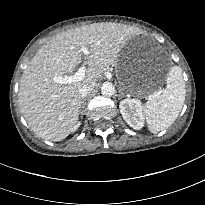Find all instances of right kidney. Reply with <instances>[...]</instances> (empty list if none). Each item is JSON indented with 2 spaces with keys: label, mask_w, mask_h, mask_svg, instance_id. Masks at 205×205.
<instances>
[{
  "label": "right kidney",
  "mask_w": 205,
  "mask_h": 205,
  "mask_svg": "<svg viewBox=\"0 0 205 205\" xmlns=\"http://www.w3.org/2000/svg\"><path fill=\"white\" fill-rule=\"evenodd\" d=\"M80 125V122H77L72 128H71V132L75 131Z\"/></svg>",
  "instance_id": "obj_1"
}]
</instances>
